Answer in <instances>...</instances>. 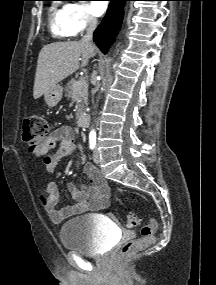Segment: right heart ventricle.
Masks as SVG:
<instances>
[{"instance_id": "obj_1", "label": "right heart ventricle", "mask_w": 216, "mask_h": 285, "mask_svg": "<svg viewBox=\"0 0 216 285\" xmlns=\"http://www.w3.org/2000/svg\"><path fill=\"white\" fill-rule=\"evenodd\" d=\"M50 28L52 34L57 38H67L73 36V33L68 25L66 6L51 8Z\"/></svg>"}]
</instances>
